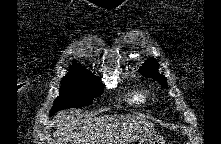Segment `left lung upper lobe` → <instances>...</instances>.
Here are the masks:
<instances>
[{"label": "left lung upper lobe", "mask_w": 221, "mask_h": 144, "mask_svg": "<svg viewBox=\"0 0 221 144\" xmlns=\"http://www.w3.org/2000/svg\"><path fill=\"white\" fill-rule=\"evenodd\" d=\"M158 62L155 59H149L139 68V72L148 78L157 80L162 87H167L165 76L158 73Z\"/></svg>", "instance_id": "obj_1"}]
</instances>
